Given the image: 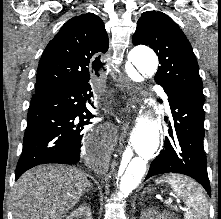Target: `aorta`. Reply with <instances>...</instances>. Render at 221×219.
<instances>
[{"instance_id":"obj_1","label":"aorta","mask_w":221,"mask_h":219,"mask_svg":"<svg viewBox=\"0 0 221 219\" xmlns=\"http://www.w3.org/2000/svg\"><path fill=\"white\" fill-rule=\"evenodd\" d=\"M128 60L142 75L152 76L158 68L156 54L145 46L134 47L129 52ZM160 129V124L151 116L144 115L138 119L133 150H126L115 171L118 199L127 198L140 184L146 172L147 161L159 147Z\"/></svg>"}]
</instances>
